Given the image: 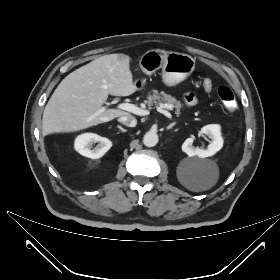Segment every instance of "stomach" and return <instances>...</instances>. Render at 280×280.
Here are the masks:
<instances>
[{"label":"stomach","mask_w":280,"mask_h":280,"mask_svg":"<svg viewBox=\"0 0 280 280\" xmlns=\"http://www.w3.org/2000/svg\"><path fill=\"white\" fill-rule=\"evenodd\" d=\"M139 66L147 75L161 69L163 83L173 87L192 74L195 69V59L185 53L152 49L142 55ZM141 82L144 83L143 80Z\"/></svg>","instance_id":"0dacf381"}]
</instances>
